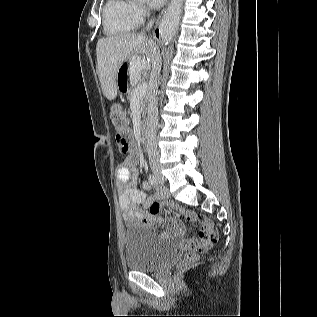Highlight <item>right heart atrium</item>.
Returning <instances> with one entry per match:
<instances>
[{
	"mask_svg": "<svg viewBox=\"0 0 317 317\" xmlns=\"http://www.w3.org/2000/svg\"><path fill=\"white\" fill-rule=\"evenodd\" d=\"M147 10L141 5L134 6V15L138 24L142 23L147 16Z\"/></svg>",
	"mask_w": 317,
	"mask_h": 317,
	"instance_id": "obj_1",
	"label": "right heart atrium"
}]
</instances>
